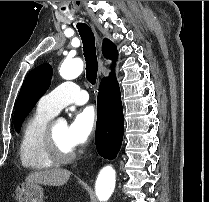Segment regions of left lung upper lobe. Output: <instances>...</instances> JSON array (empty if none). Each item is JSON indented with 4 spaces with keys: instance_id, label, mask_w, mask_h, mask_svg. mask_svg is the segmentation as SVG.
Listing matches in <instances>:
<instances>
[{
    "instance_id": "left-lung-upper-lobe-1",
    "label": "left lung upper lobe",
    "mask_w": 209,
    "mask_h": 202,
    "mask_svg": "<svg viewBox=\"0 0 209 202\" xmlns=\"http://www.w3.org/2000/svg\"><path fill=\"white\" fill-rule=\"evenodd\" d=\"M52 67L45 63L34 68L26 77L19 92L15 107L14 126L19 132L22 122L36 102L48 90L52 79Z\"/></svg>"
}]
</instances>
